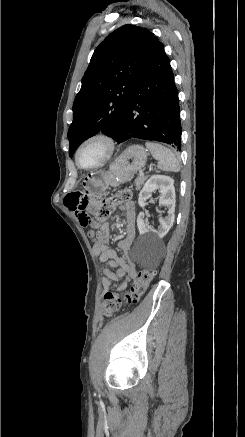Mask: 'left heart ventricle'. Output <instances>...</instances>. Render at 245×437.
Instances as JSON below:
<instances>
[{
    "label": "left heart ventricle",
    "mask_w": 245,
    "mask_h": 437,
    "mask_svg": "<svg viewBox=\"0 0 245 437\" xmlns=\"http://www.w3.org/2000/svg\"><path fill=\"white\" fill-rule=\"evenodd\" d=\"M105 153V145L100 141H93L85 145L80 152V163L90 166L97 163Z\"/></svg>",
    "instance_id": "obj_1"
}]
</instances>
